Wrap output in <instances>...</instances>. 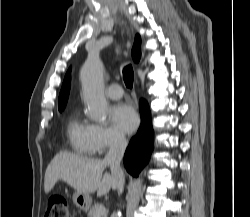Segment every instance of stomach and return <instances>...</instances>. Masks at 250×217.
I'll use <instances>...</instances> for the list:
<instances>
[{
	"label": "stomach",
	"mask_w": 250,
	"mask_h": 217,
	"mask_svg": "<svg viewBox=\"0 0 250 217\" xmlns=\"http://www.w3.org/2000/svg\"><path fill=\"white\" fill-rule=\"evenodd\" d=\"M73 202L77 208L86 212L91 207L92 198L88 193L75 192L73 195Z\"/></svg>",
	"instance_id": "stomach-1"
}]
</instances>
